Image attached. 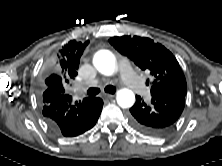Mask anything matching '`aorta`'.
Returning <instances> with one entry per match:
<instances>
[{
    "label": "aorta",
    "instance_id": "obj_1",
    "mask_svg": "<svg viewBox=\"0 0 222 166\" xmlns=\"http://www.w3.org/2000/svg\"><path fill=\"white\" fill-rule=\"evenodd\" d=\"M96 69L106 76H111L116 69V59L109 50H100L94 56L93 60ZM117 103L122 108H129L135 103L134 93L127 89H120L116 95Z\"/></svg>",
    "mask_w": 222,
    "mask_h": 166
}]
</instances>
